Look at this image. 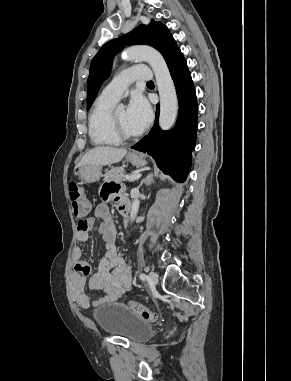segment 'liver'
Returning <instances> with one entry per match:
<instances>
[{
	"label": "liver",
	"mask_w": 291,
	"mask_h": 381,
	"mask_svg": "<svg viewBox=\"0 0 291 381\" xmlns=\"http://www.w3.org/2000/svg\"><path fill=\"white\" fill-rule=\"evenodd\" d=\"M126 153V149H119L109 146L95 147L83 155L82 159L75 166V168L89 165L105 166L117 163L123 159Z\"/></svg>",
	"instance_id": "1"
}]
</instances>
